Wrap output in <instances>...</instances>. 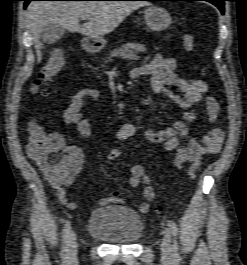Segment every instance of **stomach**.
Wrapping results in <instances>:
<instances>
[{
  "label": "stomach",
  "mask_w": 247,
  "mask_h": 265,
  "mask_svg": "<svg viewBox=\"0 0 247 265\" xmlns=\"http://www.w3.org/2000/svg\"><path fill=\"white\" fill-rule=\"evenodd\" d=\"M144 19L148 28L152 31H162L168 28L172 23L170 13L160 6L151 5L144 11ZM106 41L98 39L92 44V48L101 49Z\"/></svg>",
  "instance_id": "obj_1"
}]
</instances>
